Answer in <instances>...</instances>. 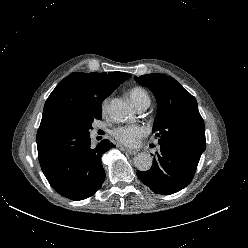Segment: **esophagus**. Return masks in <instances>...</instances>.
Wrapping results in <instances>:
<instances>
[{
    "label": "esophagus",
    "mask_w": 248,
    "mask_h": 248,
    "mask_svg": "<svg viewBox=\"0 0 248 248\" xmlns=\"http://www.w3.org/2000/svg\"><path fill=\"white\" fill-rule=\"evenodd\" d=\"M125 151L130 154V155H135L137 154V150H133V149H129V148H126Z\"/></svg>",
    "instance_id": "34e87169"
}]
</instances>
